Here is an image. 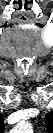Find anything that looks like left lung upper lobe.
<instances>
[{"label":"left lung upper lobe","instance_id":"left-lung-upper-lobe-1","mask_svg":"<svg viewBox=\"0 0 53 133\" xmlns=\"http://www.w3.org/2000/svg\"><path fill=\"white\" fill-rule=\"evenodd\" d=\"M49 117H50L49 115L46 116L47 120L49 119ZM48 124H49V123H48ZM49 125H50V124H49ZM47 127H48V126H47Z\"/></svg>","mask_w":53,"mask_h":133}]
</instances>
